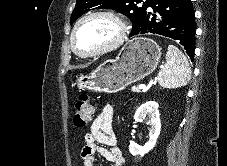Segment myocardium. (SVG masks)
<instances>
[{
  "label": "myocardium",
  "instance_id": "obj_1",
  "mask_svg": "<svg viewBox=\"0 0 227 166\" xmlns=\"http://www.w3.org/2000/svg\"><path fill=\"white\" fill-rule=\"evenodd\" d=\"M94 17H105V18H108L111 21H113L118 28V36L115 38L114 41H112L111 43L107 44L106 46H104L98 50H95L92 52H82L76 47V44H75L76 32H77L78 28L85 21H87L91 18H94ZM126 38H127V27H126L124 21L117 14L110 12V11H95V12H91V13L84 15L75 23V25L73 26V29L71 31V34H70V44H71L72 50L77 55L82 56V57H96V56H101V55H104L108 52L115 50L116 48H118L120 45L123 44V42L126 40Z\"/></svg>",
  "mask_w": 227,
  "mask_h": 166
}]
</instances>
